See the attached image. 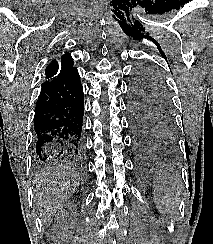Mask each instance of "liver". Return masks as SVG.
Wrapping results in <instances>:
<instances>
[{
    "label": "liver",
    "instance_id": "liver-1",
    "mask_svg": "<svg viewBox=\"0 0 213 244\" xmlns=\"http://www.w3.org/2000/svg\"><path fill=\"white\" fill-rule=\"evenodd\" d=\"M79 181V174L65 166H49L36 175L33 182L34 204L43 223L52 220L76 191Z\"/></svg>",
    "mask_w": 213,
    "mask_h": 244
}]
</instances>
